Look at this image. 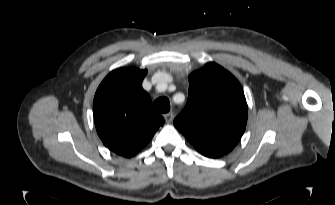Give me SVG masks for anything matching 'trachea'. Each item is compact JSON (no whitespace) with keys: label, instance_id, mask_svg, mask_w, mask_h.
I'll use <instances>...</instances> for the list:
<instances>
[{"label":"trachea","instance_id":"trachea-1","mask_svg":"<svg viewBox=\"0 0 335 205\" xmlns=\"http://www.w3.org/2000/svg\"><path fill=\"white\" fill-rule=\"evenodd\" d=\"M153 107L160 113H167L170 110V102L167 97H159L153 102Z\"/></svg>","mask_w":335,"mask_h":205}]
</instances>
